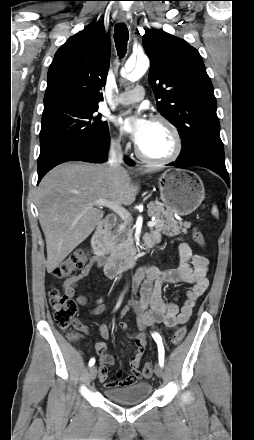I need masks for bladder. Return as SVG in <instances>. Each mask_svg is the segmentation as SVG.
<instances>
[{"mask_svg": "<svg viewBox=\"0 0 254 440\" xmlns=\"http://www.w3.org/2000/svg\"><path fill=\"white\" fill-rule=\"evenodd\" d=\"M153 391L150 382L141 381L127 386L107 389L105 395L118 403H140L148 399Z\"/></svg>", "mask_w": 254, "mask_h": 440, "instance_id": "obj_1", "label": "bladder"}]
</instances>
